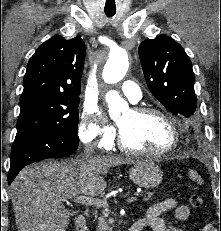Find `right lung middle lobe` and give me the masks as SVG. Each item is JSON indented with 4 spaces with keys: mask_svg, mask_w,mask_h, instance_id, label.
<instances>
[{
    "mask_svg": "<svg viewBox=\"0 0 221 231\" xmlns=\"http://www.w3.org/2000/svg\"><path fill=\"white\" fill-rule=\"evenodd\" d=\"M79 97L34 96L20 99L14 143L36 132H62L77 136Z\"/></svg>",
    "mask_w": 221,
    "mask_h": 231,
    "instance_id": "dd1d6c3e",
    "label": "right lung middle lobe"
}]
</instances>
